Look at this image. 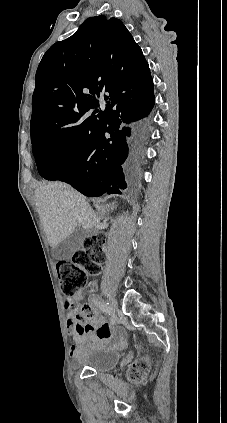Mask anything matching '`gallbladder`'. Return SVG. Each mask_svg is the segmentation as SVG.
Segmentation results:
<instances>
[{
	"label": "gallbladder",
	"instance_id": "gallbladder-1",
	"mask_svg": "<svg viewBox=\"0 0 227 423\" xmlns=\"http://www.w3.org/2000/svg\"><path fill=\"white\" fill-rule=\"evenodd\" d=\"M87 235H89L87 229L77 227L69 237L52 247L54 259H71L73 253L83 247V241Z\"/></svg>",
	"mask_w": 227,
	"mask_h": 423
}]
</instances>
